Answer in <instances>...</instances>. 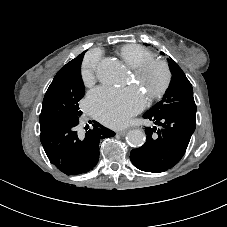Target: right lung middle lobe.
<instances>
[{
  "instance_id": "obj_1",
  "label": "right lung middle lobe",
  "mask_w": 227,
  "mask_h": 227,
  "mask_svg": "<svg viewBox=\"0 0 227 227\" xmlns=\"http://www.w3.org/2000/svg\"><path fill=\"white\" fill-rule=\"evenodd\" d=\"M84 53V52H83ZM81 60L74 66L59 70L45 94L40 114V129L59 122H79L82 112L79 101L84 96L81 79Z\"/></svg>"
}]
</instances>
